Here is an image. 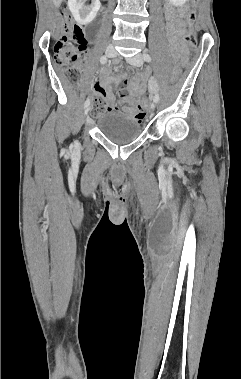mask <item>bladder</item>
I'll return each mask as SVG.
<instances>
[{
  "label": "bladder",
  "mask_w": 241,
  "mask_h": 379,
  "mask_svg": "<svg viewBox=\"0 0 241 379\" xmlns=\"http://www.w3.org/2000/svg\"><path fill=\"white\" fill-rule=\"evenodd\" d=\"M97 127L105 138L116 144L133 142L141 134V124L138 119L117 111L102 113L98 117Z\"/></svg>",
  "instance_id": "bladder-1"
}]
</instances>
